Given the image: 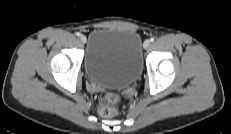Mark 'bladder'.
<instances>
[{
    "mask_svg": "<svg viewBox=\"0 0 231 134\" xmlns=\"http://www.w3.org/2000/svg\"><path fill=\"white\" fill-rule=\"evenodd\" d=\"M142 66V41L136 32L101 28L90 33L84 69L91 82L125 88L137 81Z\"/></svg>",
    "mask_w": 231,
    "mask_h": 134,
    "instance_id": "31cf9c89",
    "label": "bladder"
}]
</instances>
